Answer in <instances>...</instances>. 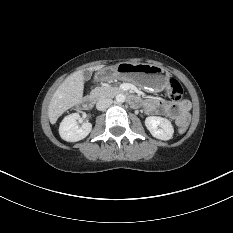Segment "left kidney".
Wrapping results in <instances>:
<instances>
[{
	"label": "left kidney",
	"mask_w": 233,
	"mask_h": 233,
	"mask_svg": "<svg viewBox=\"0 0 233 233\" xmlns=\"http://www.w3.org/2000/svg\"><path fill=\"white\" fill-rule=\"evenodd\" d=\"M145 126L153 137L164 141L171 139L174 133L171 122L159 116L147 117L145 119Z\"/></svg>",
	"instance_id": "1"
}]
</instances>
